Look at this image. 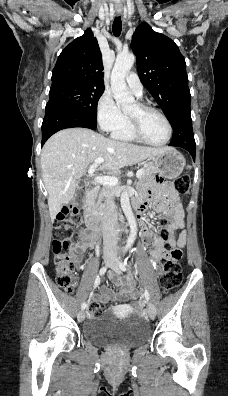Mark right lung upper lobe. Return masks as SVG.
<instances>
[{
  "mask_svg": "<svg viewBox=\"0 0 228 396\" xmlns=\"http://www.w3.org/2000/svg\"><path fill=\"white\" fill-rule=\"evenodd\" d=\"M64 83L104 87L101 51L90 28L58 57L52 72V86Z\"/></svg>",
  "mask_w": 228,
  "mask_h": 396,
  "instance_id": "cb5924a9",
  "label": "right lung upper lobe"
}]
</instances>
